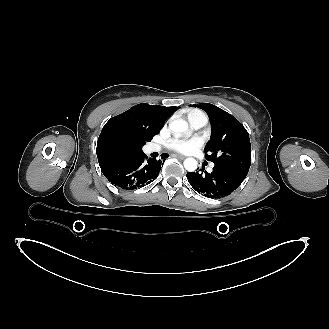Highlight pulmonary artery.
<instances>
[{"mask_svg": "<svg viewBox=\"0 0 329 329\" xmlns=\"http://www.w3.org/2000/svg\"><path fill=\"white\" fill-rule=\"evenodd\" d=\"M207 117L205 115H197V116H194L193 118H191L189 120L191 126L194 128V129H199L203 126H205L207 124ZM149 150L151 152H155V151H159L160 150V146L158 145H151L149 147Z\"/></svg>", "mask_w": 329, "mask_h": 329, "instance_id": "e3ab8cb5", "label": "pulmonary artery"}]
</instances>
